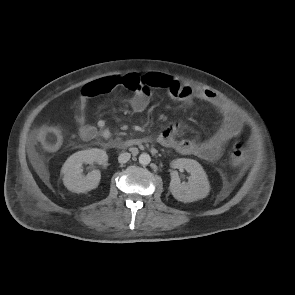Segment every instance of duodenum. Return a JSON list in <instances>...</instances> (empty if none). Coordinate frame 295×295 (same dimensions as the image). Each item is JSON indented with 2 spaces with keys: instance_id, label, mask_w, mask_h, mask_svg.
<instances>
[{
  "instance_id": "obj_1",
  "label": "duodenum",
  "mask_w": 295,
  "mask_h": 295,
  "mask_svg": "<svg viewBox=\"0 0 295 295\" xmlns=\"http://www.w3.org/2000/svg\"><path fill=\"white\" fill-rule=\"evenodd\" d=\"M142 140H129V141H109L106 146L108 148H129L141 144Z\"/></svg>"
}]
</instances>
